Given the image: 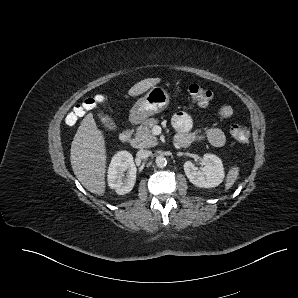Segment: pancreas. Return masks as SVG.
Instances as JSON below:
<instances>
[{"label": "pancreas", "instance_id": "1", "mask_svg": "<svg viewBox=\"0 0 298 298\" xmlns=\"http://www.w3.org/2000/svg\"><path fill=\"white\" fill-rule=\"evenodd\" d=\"M158 121L155 118L146 119L135 132V138L132 141V145L135 148H148L158 145V138L153 136L151 129L157 124Z\"/></svg>", "mask_w": 298, "mask_h": 298}]
</instances>
